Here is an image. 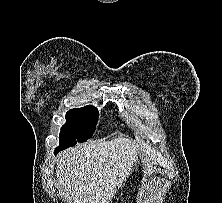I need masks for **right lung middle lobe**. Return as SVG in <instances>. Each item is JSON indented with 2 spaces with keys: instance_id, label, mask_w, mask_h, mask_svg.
Masks as SVG:
<instances>
[{
  "instance_id": "dd1d6c3e",
  "label": "right lung middle lobe",
  "mask_w": 222,
  "mask_h": 203,
  "mask_svg": "<svg viewBox=\"0 0 222 203\" xmlns=\"http://www.w3.org/2000/svg\"><path fill=\"white\" fill-rule=\"evenodd\" d=\"M99 113L91 105L71 109L66 113V123L62 126L59 135L60 145L58 149H64L75 145L77 142H84L92 137Z\"/></svg>"
}]
</instances>
